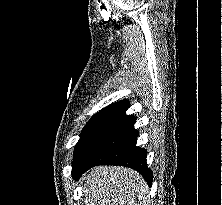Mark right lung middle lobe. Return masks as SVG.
I'll list each match as a JSON object with an SVG mask.
<instances>
[{
  "mask_svg": "<svg viewBox=\"0 0 222 205\" xmlns=\"http://www.w3.org/2000/svg\"><path fill=\"white\" fill-rule=\"evenodd\" d=\"M107 113L100 112L98 114H95L90 121L86 124V126L83 128V131L80 135V139L75 147V153H74V159L82 149L84 143L88 139L91 132L94 130V128L100 123V121L106 116ZM74 161V160H73Z\"/></svg>",
  "mask_w": 222,
  "mask_h": 205,
  "instance_id": "right-lung-middle-lobe-1",
  "label": "right lung middle lobe"
}]
</instances>
